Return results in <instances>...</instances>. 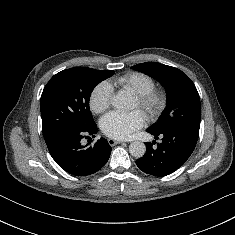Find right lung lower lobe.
Instances as JSON below:
<instances>
[{"mask_svg":"<svg viewBox=\"0 0 235 235\" xmlns=\"http://www.w3.org/2000/svg\"><path fill=\"white\" fill-rule=\"evenodd\" d=\"M96 133L95 123L85 129L64 128L46 144L52 158L65 171L75 176H86L100 170L107 163L112 150L104 138L88 148L81 145L80 141L85 135L95 137Z\"/></svg>","mask_w":235,"mask_h":235,"instance_id":"right-lung-lower-lobe-1","label":"right lung lower lobe"}]
</instances>
